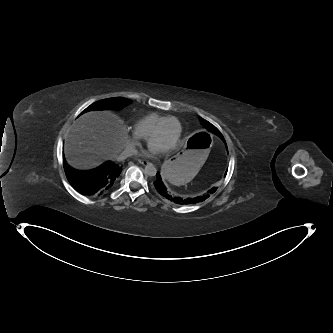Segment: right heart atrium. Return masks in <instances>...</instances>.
Segmentation results:
<instances>
[{
    "label": "right heart atrium",
    "mask_w": 333,
    "mask_h": 333,
    "mask_svg": "<svg viewBox=\"0 0 333 333\" xmlns=\"http://www.w3.org/2000/svg\"><path fill=\"white\" fill-rule=\"evenodd\" d=\"M141 137L136 134L135 132L129 137V140H128V149L130 151H133L135 149L136 146H138L141 142Z\"/></svg>",
    "instance_id": "d8ad5b80"
}]
</instances>
